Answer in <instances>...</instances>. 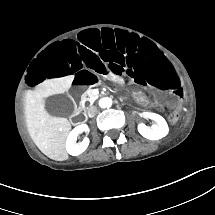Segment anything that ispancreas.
<instances>
[{
    "label": "pancreas",
    "instance_id": "cf45deb5",
    "mask_svg": "<svg viewBox=\"0 0 215 215\" xmlns=\"http://www.w3.org/2000/svg\"><path fill=\"white\" fill-rule=\"evenodd\" d=\"M100 95H94L92 92V89H87V91L83 94V99L85 101L90 102V104H93L95 100L98 99Z\"/></svg>",
    "mask_w": 215,
    "mask_h": 215
}]
</instances>
